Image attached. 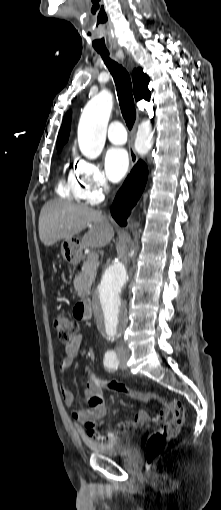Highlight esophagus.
Wrapping results in <instances>:
<instances>
[{"label": "esophagus", "instance_id": "obj_1", "mask_svg": "<svg viewBox=\"0 0 221 510\" xmlns=\"http://www.w3.org/2000/svg\"><path fill=\"white\" fill-rule=\"evenodd\" d=\"M129 155L131 165L134 166L137 163L138 158L132 145L130 146Z\"/></svg>", "mask_w": 221, "mask_h": 510}]
</instances>
